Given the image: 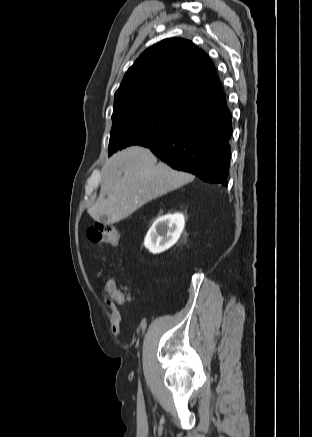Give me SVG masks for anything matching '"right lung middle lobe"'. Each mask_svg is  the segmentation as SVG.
Returning <instances> with one entry per match:
<instances>
[{"instance_id": "right-lung-middle-lobe-1", "label": "right lung middle lobe", "mask_w": 312, "mask_h": 437, "mask_svg": "<svg viewBox=\"0 0 312 437\" xmlns=\"http://www.w3.org/2000/svg\"><path fill=\"white\" fill-rule=\"evenodd\" d=\"M193 113L161 102L132 104L117 109L112 115L109 153L163 138L184 125Z\"/></svg>"}]
</instances>
